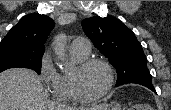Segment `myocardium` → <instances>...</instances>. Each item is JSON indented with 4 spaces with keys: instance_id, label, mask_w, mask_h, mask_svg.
Listing matches in <instances>:
<instances>
[{
    "instance_id": "myocardium-1",
    "label": "myocardium",
    "mask_w": 171,
    "mask_h": 110,
    "mask_svg": "<svg viewBox=\"0 0 171 110\" xmlns=\"http://www.w3.org/2000/svg\"><path fill=\"white\" fill-rule=\"evenodd\" d=\"M96 64L102 65L103 67L106 68L109 75V80L106 88L100 94L89 96L81 90L78 82V75L83 71H85L86 69H88L90 66ZM114 83H115V72L112 65L106 60L99 59V58H90V59L83 60L76 67V72L70 75V86L73 96L77 101L82 103H91L106 97L111 92Z\"/></svg>"
}]
</instances>
